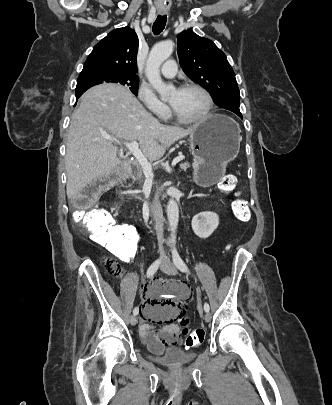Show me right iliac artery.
<instances>
[{"instance_id":"1","label":"right iliac artery","mask_w":332,"mask_h":405,"mask_svg":"<svg viewBox=\"0 0 332 405\" xmlns=\"http://www.w3.org/2000/svg\"><path fill=\"white\" fill-rule=\"evenodd\" d=\"M160 263H161V259L155 261L152 265H150V267L148 268L147 273H146L147 278H151L155 274ZM138 313H139V308L135 307L133 310V314L137 315Z\"/></svg>"}]
</instances>
